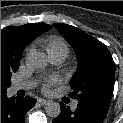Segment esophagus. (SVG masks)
<instances>
[{
	"instance_id": "34e87169",
	"label": "esophagus",
	"mask_w": 123,
	"mask_h": 123,
	"mask_svg": "<svg viewBox=\"0 0 123 123\" xmlns=\"http://www.w3.org/2000/svg\"><path fill=\"white\" fill-rule=\"evenodd\" d=\"M37 102L40 103V104H42V105H46V104H48L49 100L39 98V99L37 100Z\"/></svg>"
}]
</instances>
